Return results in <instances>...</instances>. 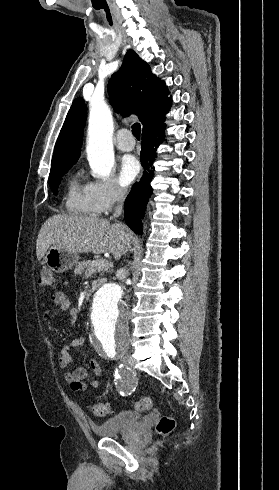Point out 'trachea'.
<instances>
[{
  "mask_svg": "<svg viewBox=\"0 0 279 490\" xmlns=\"http://www.w3.org/2000/svg\"><path fill=\"white\" fill-rule=\"evenodd\" d=\"M132 133L137 138V140H140V123H134L132 125Z\"/></svg>",
  "mask_w": 279,
  "mask_h": 490,
  "instance_id": "trachea-1",
  "label": "trachea"
}]
</instances>
